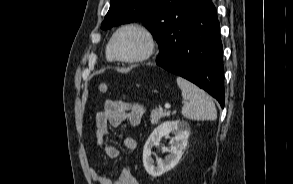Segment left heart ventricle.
<instances>
[{
	"instance_id": "left-heart-ventricle-1",
	"label": "left heart ventricle",
	"mask_w": 293,
	"mask_h": 184,
	"mask_svg": "<svg viewBox=\"0 0 293 184\" xmlns=\"http://www.w3.org/2000/svg\"><path fill=\"white\" fill-rule=\"evenodd\" d=\"M146 48V39L139 31H122L114 41V50L121 57H135Z\"/></svg>"
}]
</instances>
